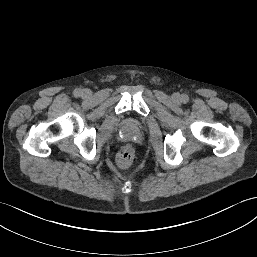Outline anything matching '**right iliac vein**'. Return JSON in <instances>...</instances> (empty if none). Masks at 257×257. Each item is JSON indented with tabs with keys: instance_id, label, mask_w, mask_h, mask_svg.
Wrapping results in <instances>:
<instances>
[{
	"instance_id": "obj_1",
	"label": "right iliac vein",
	"mask_w": 257,
	"mask_h": 257,
	"mask_svg": "<svg viewBox=\"0 0 257 257\" xmlns=\"http://www.w3.org/2000/svg\"><path fill=\"white\" fill-rule=\"evenodd\" d=\"M83 95H84V96H89V95H90L89 90H84V91H83Z\"/></svg>"
}]
</instances>
